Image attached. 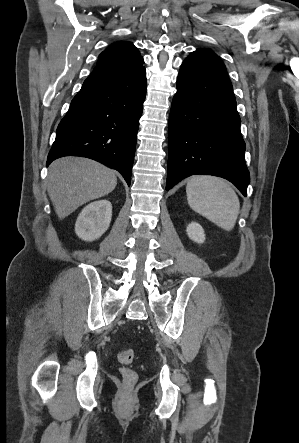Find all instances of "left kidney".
Instances as JSON below:
<instances>
[{"instance_id":"5707ae66","label":"left kidney","mask_w":299,"mask_h":443,"mask_svg":"<svg viewBox=\"0 0 299 443\" xmlns=\"http://www.w3.org/2000/svg\"><path fill=\"white\" fill-rule=\"evenodd\" d=\"M187 234L191 240L197 243H204L205 241V234L202 226L198 224L197 222H191L187 226Z\"/></svg>"}]
</instances>
